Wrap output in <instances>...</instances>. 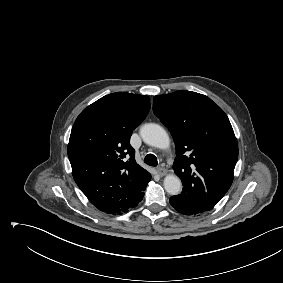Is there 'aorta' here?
Masks as SVG:
<instances>
[{
	"label": "aorta",
	"mask_w": 283,
	"mask_h": 283,
	"mask_svg": "<svg viewBox=\"0 0 283 283\" xmlns=\"http://www.w3.org/2000/svg\"><path fill=\"white\" fill-rule=\"evenodd\" d=\"M140 135L143 141L159 149H167L170 139L163 127L155 123H148L141 127ZM164 188L170 195H177L181 192L182 184L178 176L169 174L164 178Z\"/></svg>",
	"instance_id": "762f6f07"
}]
</instances>
